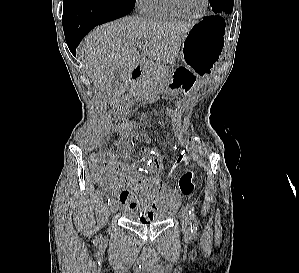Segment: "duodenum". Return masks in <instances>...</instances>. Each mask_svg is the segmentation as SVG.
<instances>
[{
    "label": "duodenum",
    "instance_id": "1",
    "mask_svg": "<svg viewBox=\"0 0 299 273\" xmlns=\"http://www.w3.org/2000/svg\"><path fill=\"white\" fill-rule=\"evenodd\" d=\"M143 69L141 66H135L130 74V83L133 86L142 76Z\"/></svg>",
    "mask_w": 299,
    "mask_h": 273
}]
</instances>
